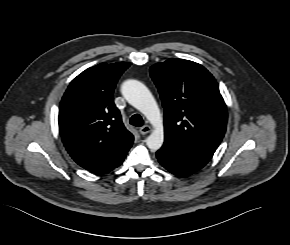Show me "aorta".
I'll list each match as a JSON object with an SVG mask.
<instances>
[{
  "label": "aorta",
  "mask_w": 290,
  "mask_h": 245,
  "mask_svg": "<svg viewBox=\"0 0 290 245\" xmlns=\"http://www.w3.org/2000/svg\"><path fill=\"white\" fill-rule=\"evenodd\" d=\"M121 92L128 103L144 114L154 128L146 139L147 147L152 151L159 150L164 142V126L160 109L153 95L143 83L137 80L125 81Z\"/></svg>",
  "instance_id": "762f6f07"
}]
</instances>
